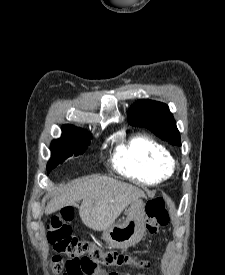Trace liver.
Wrapping results in <instances>:
<instances>
[{"instance_id": "1", "label": "liver", "mask_w": 225, "mask_h": 275, "mask_svg": "<svg viewBox=\"0 0 225 275\" xmlns=\"http://www.w3.org/2000/svg\"><path fill=\"white\" fill-rule=\"evenodd\" d=\"M141 189L107 176H88L63 185L48 203L46 213H54L66 206L79 207L82 222L95 231L110 227L123 210L134 200L145 198Z\"/></svg>"}]
</instances>
